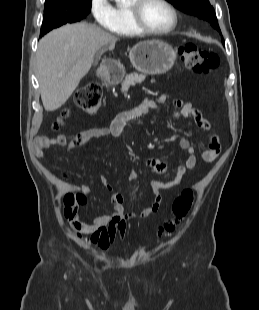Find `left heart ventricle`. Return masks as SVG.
<instances>
[{"label":"left heart ventricle","mask_w":259,"mask_h":310,"mask_svg":"<svg viewBox=\"0 0 259 310\" xmlns=\"http://www.w3.org/2000/svg\"><path fill=\"white\" fill-rule=\"evenodd\" d=\"M146 25L155 30L168 28L173 22L170 10L159 0H149L142 12Z\"/></svg>","instance_id":"left-heart-ventricle-1"}]
</instances>
